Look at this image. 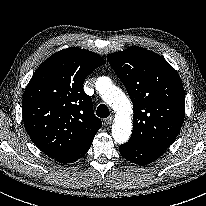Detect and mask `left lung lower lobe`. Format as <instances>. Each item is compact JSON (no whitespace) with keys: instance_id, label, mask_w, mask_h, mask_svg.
Masks as SVG:
<instances>
[{"instance_id":"1","label":"left lung lower lobe","mask_w":206,"mask_h":206,"mask_svg":"<svg viewBox=\"0 0 206 206\" xmlns=\"http://www.w3.org/2000/svg\"><path fill=\"white\" fill-rule=\"evenodd\" d=\"M121 155L128 161L138 165H146L157 160L165 150L154 148L135 141L120 145Z\"/></svg>"}]
</instances>
